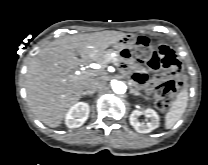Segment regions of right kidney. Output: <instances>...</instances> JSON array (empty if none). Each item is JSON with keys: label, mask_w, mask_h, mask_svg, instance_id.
Returning a JSON list of instances; mask_svg holds the SVG:
<instances>
[{"label": "right kidney", "mask_w": 208, "mask_h": 165, "mask_svg": "<svg viewBox=\"0 0 208 165\" xmlns=\"http://www.w3.org/2000/svg\"><path fill=\"white\" fill-rule=\"evenodd\" d=\"M90 108L86 102L73 105L65 115V124L68 128H78L88 119Z\"/></svg>", "instance_id": "1"}]
</instances>
